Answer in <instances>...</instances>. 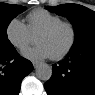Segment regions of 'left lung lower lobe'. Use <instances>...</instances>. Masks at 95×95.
Wrapping results in <instances>:
<instances>
[{
    "label": "left lung lower lobe",
    "instance_id": "0a47b994",
    "mask_svg": "<svg viewBox=\"0 0 95 95\" xmlns=\"http://www.w3.org/2000/svg\"><path fill=\"white\" fill-rule=\"evenodd\" d=\"M52 74L44 84L48 95H95V44L70 51Z\"/></svg>",
    "mask_w": 95,
    "mask_h": 95
}]
</instances>
